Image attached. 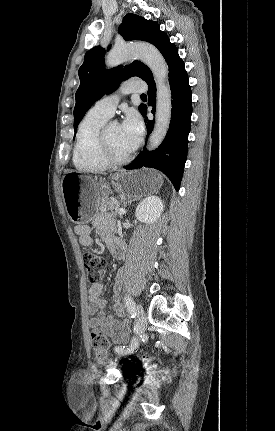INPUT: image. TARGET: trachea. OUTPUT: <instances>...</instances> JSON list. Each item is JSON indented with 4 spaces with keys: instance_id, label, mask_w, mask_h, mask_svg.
Returning <instances> with one entry per match:
<instances>
[{
    "instance_id": "trachea-1",
    "label": "trachea",
    "mask_w": 275,
    "mask_h": 431,
    "mask_svg": "<svg viewBox=\"0 0 275 431\" xmlns=\"http://www.w3.org/2000/svg\"><path fill=\"white\" fill-rule=\"evenodd\" d=\"M141 97H147V95L146 94H142Z\"/></svg>"
}]
</instances>
